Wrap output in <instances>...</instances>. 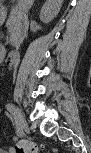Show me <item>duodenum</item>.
I'll return each instance as SVG.
<instances>
[{
	"mask_svg": "<svg viewBox=\"0 0 91 153\" xmlns=\"http://www.w3.org/2000/svg\"><path fill=\"white\" fill-rule=\"evenodd\" d=\"M20 53H21L20 47L9 51L6 56L7 63H13L14 61H16L19 58Z\"/></svg>",
	"mask_w": 91,
	"mask_h": 153,
	"instance_id": "duodenum-1",
	"label": "duodenum"
}]
</instances>
